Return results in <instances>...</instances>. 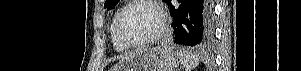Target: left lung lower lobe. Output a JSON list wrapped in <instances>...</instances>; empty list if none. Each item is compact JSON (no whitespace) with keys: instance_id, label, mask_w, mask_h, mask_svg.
Masks as SVG:
<instances>
[{"instance_id":"1","label":"left lung lower lobe","mask_w":301,"mask_h":71,"mask_svg":"<svg viewBox=\"0 0 301 71\" xmlns=\"http://www.w3.org/2000/svg\"><path fill=\"white\" fill-rule=\"evenodd\" d=\"M175 8L171 0L166 3L173 16L174 42L185 46L203 48L212 43L213 8L210 0H178Z\"/></svg>"}]
</instances>
